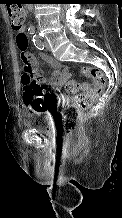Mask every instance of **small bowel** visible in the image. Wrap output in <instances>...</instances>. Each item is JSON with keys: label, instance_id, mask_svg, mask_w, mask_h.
Returning <instances> with one entry per match:
<instances>
[{"label": "small bowel", "instance_id": "1", "mask_svg": "<svg viewBox=\"0 0 122 218\" xmlns=\"http://www.w3.org/2000/svg\"><path fill=\"white\" fill-rule=\"evenodd\" d=\"M23 33L25 32V28L23 27L21 30ZM42 59L44 63L51 66L54 69L53 74L49 78V80H40L37 77L38 73V61L35 57L32 55H28L27 58V64L30 67V74L33 77V81L38 84L39 86L45 87V91H38L35 94L36 102L41 105V108L43 109V106L47 104L45 100L46 96V86H50L54 91H60L63 84L70 78L71 73L67 67H64L60 65L55 59L52 57L43 54ZM61 100L68 101V98L64 95H62Z\"/></svg>", "mask_w": 122, "mask_h": 218}]
</instances>
